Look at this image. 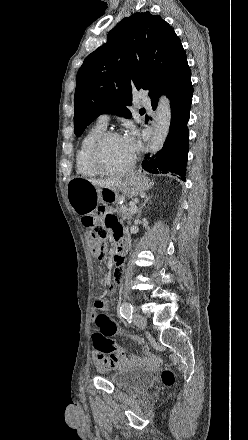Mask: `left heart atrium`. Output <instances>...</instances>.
Instances as JSON below:
<instances>
[{
	"instance_id": "1",
	"label": "left heart atrium",
	"mask_w": 248,
	"mask_h": 440,
	"mask_svg": "<svg viewBox=\"0 0 248 440\" xmlns=\"http://www.w3.org/2000/svg\"><path fill=\"white\" fill-rule=\"evenodd\" d=\"M125 142L129 150L134 154L138 150V140L137 133L134 129H131L128 134L124 137Z\"/></svg>"
}]
</instances>
